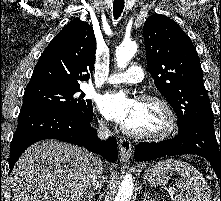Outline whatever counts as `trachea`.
Segmentation results:
<instances>
[{
    "label": "trachea",
    "instance_id": "1",
    "mask_svg": "<svg viewBox=\"0 0 221 201\" xmlns=\"http://www.w3.org/2000/svg\"><path fill=\"white\" fill-rule=\"evenodd\" d=\"M124 9V0H114L113 3V15L115 19H118Z\"/></svg>",
    "mask_w": 221,
    "mask_h": 201
}]
</instances>
